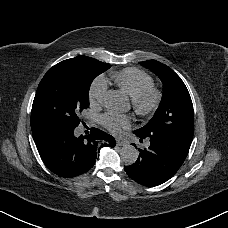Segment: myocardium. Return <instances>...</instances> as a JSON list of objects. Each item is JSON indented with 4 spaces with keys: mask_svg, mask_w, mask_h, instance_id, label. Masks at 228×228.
Masks as SVG:
<instances>
[{
    "mask_svg": "<svg viewBox=\"0 0 228 228\" xmlns=\"http://www.w3.org/2000/svg\"><path fill=\"white\" fill-rule=\"evenodd\" d=\"M161 95L155 88H149L142 93L132 97L131 111L137 116H151L159 108Z\"/></svg>",
    "mask_w": 228,
    "mask_h": 228,
    "instance_id": "myocardium-1",
    "label": "myocardium"
}]
</instances>
